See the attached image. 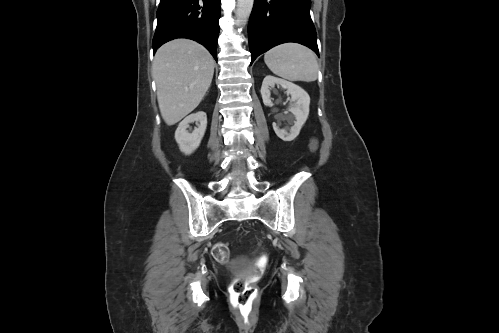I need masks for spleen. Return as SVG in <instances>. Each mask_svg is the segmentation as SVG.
I'll return each instance as SVG.
<instances>
[{
  "instance_id": "3e777b00",
  "label": "spleen",
  "mask_w": 499,
  "mask_h": 333,
  "mask_svg": "<svg viewBox=\"0 0 499 333\" xmlns=\"http://www.w3.org/2000/svg\"><path fill=\"white\" fill-rule=\"evenodd\" d=\"M267 67L277 76L290 81L312 82L318 77L316 55L297 43H285L265 53Z\"/></svg>"
}]
</instances>
